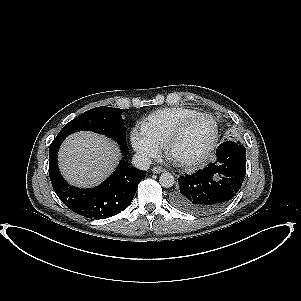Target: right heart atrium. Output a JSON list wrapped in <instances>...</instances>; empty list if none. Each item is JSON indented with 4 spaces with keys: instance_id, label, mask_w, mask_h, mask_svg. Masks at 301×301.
<instances>
[{
    "instance_id": "1",
    "label": "right heart atrium",
    "mask_w": 301,
    "mask_h": 301,
    "mask_svg": "<svg viewBox=\"0 0 301 301\" xmlns=\"http://www.w3.org/2000/svg\"><path fill=\"white\" fill-rule=\"evenodd\" d=\"M130 141L135 152L146 161L155 159L160 155L161 147L141 130L133 129L130 134Z\"/></svg>"
}]
</instances>
